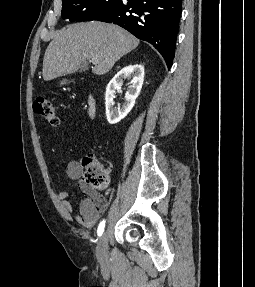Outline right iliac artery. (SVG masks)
I'll use <instances>...</instances> for the list:
<instances>
[{
  "label": "right iliac artery",
  "mask_w": 255,
  "mask_h": 287,
  "mask_svg": "<svg viewBox=\"0 0 255 287\" xmlns=\"http://www.w3.org/2000/svg\"><path fill=\"white\" fill-rule=\"evenodd\" d=\"M104 227H105V221H102L100 224H99V227H98V230H97V234L98 236H101L103 231H104Z\"/></svg>",
  "instance_id": "1"
}]
</instances>
